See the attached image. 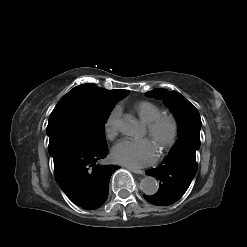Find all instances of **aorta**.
<instances>
[{"mask_svg":"<svg viewBox=\"0 0 247 247\" xmlns=\"http://www.w3.org/2000/svg\"><path fill=\"white\" fill-rule=\"evenodd\" d=\"M119 130L126 136L135 137L140 131V125L134 118L127 117L120 121ZM140 188L145 194L154 195L158 191L159 184L154 177L146 176L141 180Z\"/></svg>","mask_w":247,"mask_h":247,"instance_id":"1","label":"aorta"}]
</instances>
